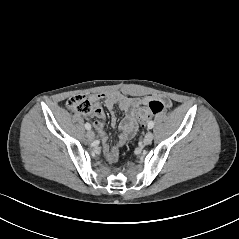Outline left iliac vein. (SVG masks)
<instances>
[{
    "label": "left iliac vein",
    "instance_id": "4c4485c4",
    "mask_svg": "<svg viewBox=\"0 0 239 239\" xmlns=\"http://www.w3.org/2000/svg\"><path fill=\"white\" fill-rule=\"evenodd\" d=\"M153 140V133L151 131H148L143 139V143L145 145H148L152 142Z\"/></svg>",
    "mask_w": 239,
    "mask_h": 239
}]
</instances>
